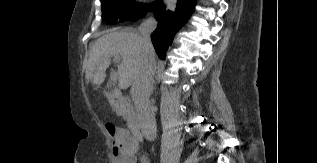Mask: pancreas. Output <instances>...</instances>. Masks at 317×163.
Instances as JSON below:
<instances>
[{"mask_svg":"<svg viewBox=\"0 0 317 163\" xmlns=\"http://www.w3.org/2000/svg\"><path fill=\"white\" fill-rule=\"evenodd\" d=\"M119 115L123 116V118L129 122H133L135 118V113L131 109L130 111L118 109Z\"/></svg>","mask_w":317,"mask_h":163,"instance_id":"obj_1","label":"pancreas"}]
</instances>
